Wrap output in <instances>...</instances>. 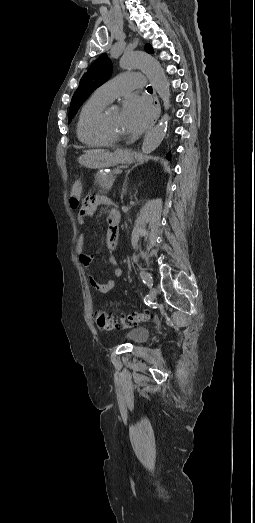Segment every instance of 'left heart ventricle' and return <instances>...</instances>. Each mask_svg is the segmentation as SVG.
<instances>
[{
	"label": "left heart ventricle",
	"instance_id": "b2bd125f",
	"mask_svg": "<svg viewBox=\"0 0 255 523\" xmlns=\"http://www.w3.org/2000/svg\"><path fill=\"white\" fill-rule=\"evenodd\" d=\"M107 123L112 132L122 138H131L133 133L130 128L129 120L124 110L112 108L109 111Z\"/></svg>",
	"mask_w": 255,
	"mask_h": 523
}]
</instances>
